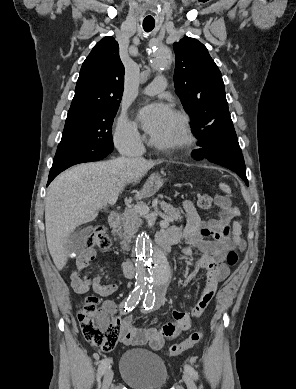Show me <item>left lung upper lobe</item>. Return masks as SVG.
Segmentation results:
<instances>
[{"label":"left lung upper lobe","mask_w":296,"mask_h":389,"mask_svg":"<svg viewBox=\"0 0 296 389\" xmlns=\"http://www.w3.org/2000/svg\"><path fill=\"white\" fill-rule=\"evenodd\" d=\"M176 63L175 88L190 115L195 137L217 117L229 113L222 75L207 48L198 40L184 37L173 44Z\"/></svg>","instance_id":"1"}]
</instances>
